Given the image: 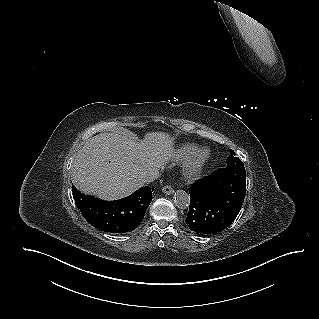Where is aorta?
Returning a JSON list of instances; mask_svg holds the SVG:
<instances>
[{
	"label": "aorta",
	"instance_id": "aorta-1",
	"mask_svg": "<svg viewBox=\"0 0 319 319\" xmlns=\"http://www.w3.org/2000/svg\"><path fill=\"white\" fill-rule=\"evenodd\" d=\"M175 205L180 209H185L190 205V197L184 190H177L174 196Z\"/></svg>",
	"mask_w": 319,
	"mask_h": 319
}]
</instances>
